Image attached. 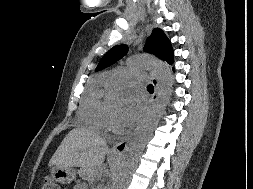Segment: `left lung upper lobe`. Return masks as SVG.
<instances>
[{
  "label": "left lung upper lobe",
  "mask_w": 253,
  "mask_h": 189,
  "mask_svg": "<svg viewBox=\"0 0 253 189\" xmlns=\"http://www.w3.org/2000/svg\"><path fill=\"white\" fill-rule=\"evenodd\" d=\"M144 50L148 53L154 54L162 60L167 61L169 64L173 63L174 56L171 43L166 37L164 32L155 28L152 34L147 38ZM127 53L126 45H118L110 49L100 60L96 70H100L113 64L121 59Z\"/></svg>",
  "instance_id": "1"
}]
</instances>
